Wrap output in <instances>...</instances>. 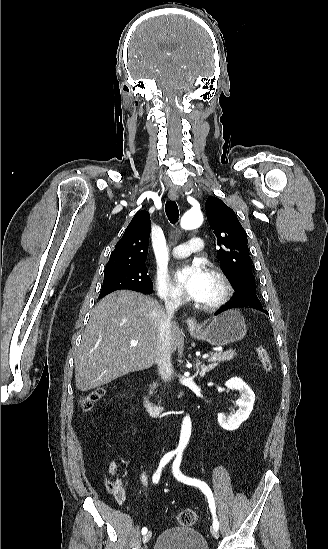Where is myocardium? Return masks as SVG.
<instances>
[{
	"mask_svg": "<svg viewBox=\"0 0 328 549\" xmlns=\"http://www.w3.org/2000/svg\"><path fill=\"white\" fill-rule=\"evenodd\" d=\"M211 268L209 274L214 276L221 284V293L213 301L198 302L200 309L207 312H216L221 310L228 302L232 294V285L228 277L221 271V266L210 260H201L198 262Z\"/></svg>",
	"mask_w": 328,
	"mask_h": 549,
	"instance_id": "1",
	"label": "myocardium"
}]
</instances>
